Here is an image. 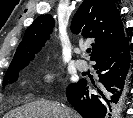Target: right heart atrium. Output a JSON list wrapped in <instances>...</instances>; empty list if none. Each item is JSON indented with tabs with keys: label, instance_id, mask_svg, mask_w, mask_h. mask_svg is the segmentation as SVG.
Masks as SVG:
<instances>
[{
	"label": "right heart atrium",
	"instance_id": "1",
	"mask_svg": "<svg viewBox=\"0 0 133 118\" xmlns=\"http://www.w3.org/2000/svg\"><path fill=\"white\" fill-rule=\"evenodd\" d=\"M41 79H42L43 83L46 85L52 84L55 79L54 70L52 68L44 69L41 74Z\"/></svg>",
	"mask_w": 133,
	"mask_h": 118
}]
</instances>
